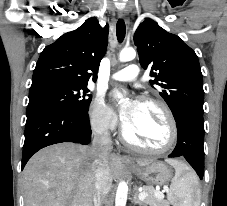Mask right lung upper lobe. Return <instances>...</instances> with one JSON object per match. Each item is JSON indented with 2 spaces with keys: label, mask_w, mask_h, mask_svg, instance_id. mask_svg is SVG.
<instances>
[{
  "label": "right lung upper lobe",
  "mask_w": 227,
  "mask_h": 206,
  "mask_svg": "<svg viewBox=\"0 0 227 206\" xmlns=\"http://www.w3.org/2000/svg\"><path fill=\"white\" fill-rule=\"evenodd\" d=\"M108 32V25L102 28L96 18H89L78 29L63 34L42 51L32 83L59 80L87 86L89 79L96 81Z\"/></svg>",
  "instance_id": "cb5924a9"
}]
</instances>
